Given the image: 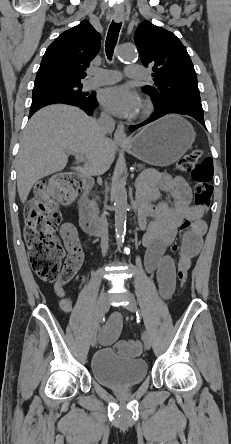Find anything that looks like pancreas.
I'll use <instances>...</instances> for the list:
<instances>
[{"mask_svg": "<svg viewBox=\"0 0 231 444\" xmlns=\"http://www.w3.org/2000/svg\"><path fill=\"white\" fill-rule=\"evenodd\" d=\"M135 167H137L139 171H142L145 169V166L142 163L135 164Z\"/></svg>", "mask_w": 231, "mask_h": 444, "instance_id": "1", "label": "pancreas"}]
</instances>
